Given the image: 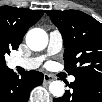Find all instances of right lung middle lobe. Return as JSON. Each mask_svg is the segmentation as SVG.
<instances>
[{
	"instance_id": "obj_1",
	"label": "right lung middle lobe",
	"mask_w": 102,
	"mask_h": 102,
	"mask_svg": "<svg viewBox=\"0 0 102 102\" xmlns=\"http://www.w3.org/2000/svg\"><path fill=\"white\" fill-rule=\"evenodd\" d=\"M6 53L10 54L9 49L0 47V70L6 68V63L4 61V55Z\"/></svg>"
}]
</instances>
